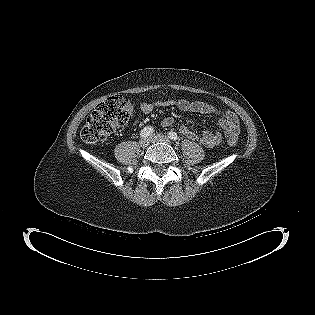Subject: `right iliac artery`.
Here are the masks:
<instances>
[{"instance_id": "1", "label": "right iliac artery", "mask_w": 315, "mask_h": 315, "mask_svg": "<svg viewBox=\"0 0 315 315\" xmlns=\"http://www.w3.org/2000/svg\"><path fill=\"white\" fill-rule=\"evenodd\" d=\"M153 132H154V129L151 126H147L141 130L140 136L142 138H146L150 136Z\"/></svg>"}]
</instances>
